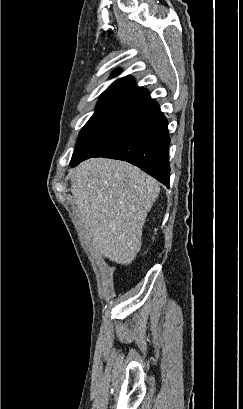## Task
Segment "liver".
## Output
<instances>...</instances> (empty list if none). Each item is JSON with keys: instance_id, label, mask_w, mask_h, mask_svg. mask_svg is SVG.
Returning a JSON list of instances; mask_svg holds the SVG:
<instances>
[{"instance_id": "obj_1", "label": "liver", "mask_w": 243, "mask_h": 409, "mask_svg": "<svg viewBox=\"0 0 243 409\" xmlns=\"http://www.w3.org/2000/svg\"><path fill=\"white\" fill-rule=\"evenodd\" d=\"M69 174L72 202L91 244L111 261L129 265L140 251L158 183L127 162L105 158L86 160Z\"/></svg>"}]
</instances>
